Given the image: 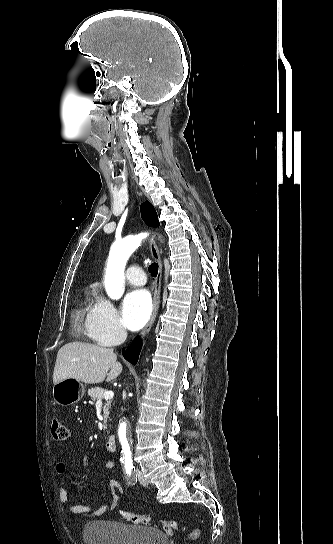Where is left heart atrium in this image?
<instances>
[{"mask_svg": "<svg viewBox=\"0 0 333 544\" xmlns=\"http://www.w3.org/2000/svg\"><path fill=\"white\" fill-rule=\"evenodd\" d=\"M152 311L151 296L144 289L130 292L124 299L122 317L126 327L139 330L148 321Z\"/></svg>", "mask_w": 333, "mask_h": 544, "instance_id": "39dd6f15", "label": "left heart atrium"}]
</instances>
